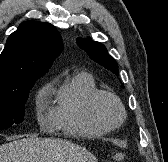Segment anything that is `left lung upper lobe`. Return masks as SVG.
<instances>
[{"label":"left lung upper lobe","instance_id":"1","mask_svg":"<svg viewBox=\"0 0 168 162\" xmlns=\"http://www.w3.org/2000/svg\"><path fill=\"white\" fill-rule=\"evenodd\" d=\"M77 44L94 62L102 65L116 75L119 74L116 60L108 54L103 44L94 42L90 38H77Z\"/></svg>","mask_w":168,"mask_h":162}]
</instances>
